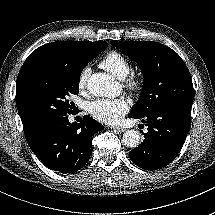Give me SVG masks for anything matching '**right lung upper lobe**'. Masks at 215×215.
<instances>
[{
	"label": "right lung upper lobe",
	"mask_w": 215,
	"mask_h": 215,
	"mask_svg": "<svg viewBox=\"0 0 215 215\" xmlns=\"http://www.w3.org/2000/svg\"><path fill=\"white\" fill-rule=\"evenodd\" d=\"M101 44L108 46L103 41H57L38 47L23 64L18 74L16 91L31 78L67 64L78 53L93 50ZM32 128L23 124L25 135L29 134Z\"/></svg>",
	"instance_id": "right-lung-upper-lobe-1"
}]
</instances>
